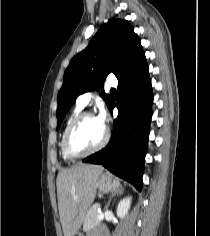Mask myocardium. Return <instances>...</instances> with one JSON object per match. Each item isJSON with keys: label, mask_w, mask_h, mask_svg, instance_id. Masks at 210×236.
<instances>
[{"label": "myocardium", "mask_w": 210, "mask_h": 236, "mask_svg": "<svg viewBox=\"0 0 210 236\" xmlns=\"http://www.w3.org/2000/svg\"><path fill=\"white\" fill-rule=\"evenodd\" d=\"M88 117H95L94 114L92 112H81L79 113L69 124V126L66 129L65 135H64V139H63V150L65 155L69 158V159H76V158H81V157H85L88 156L90 154H93L99 150H101L103 147L106 146V144L109 141V131L107 128L104 129V136L103 139L101 140V142L96 145L95 147L85 150V151H74L71 147V139H72V135L74 130L76 129V127L86 118Z\"/></svg>", "instance_id": "obj_1"}]
</instances>
